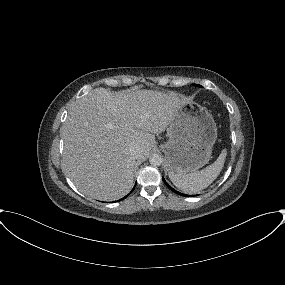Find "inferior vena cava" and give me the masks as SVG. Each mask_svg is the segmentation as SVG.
<instances>
[{
  "instance_id": "inferior-vena-cava-1",
  "label": "inferior vena cava",
  "mask_w": 285,
  "mask_h": 285,
  "mask_svg": "<svg viewBox=\"0 0 285 285\" xmlns=\"http://www.w3.org/2000/svg\"><path fill=\"white\" fill-rule=\"evenodd\" d=\"M131 157L139 159L141 157V149L138 145H132L129 149Z\"/></svg>"
}]
</instances>
